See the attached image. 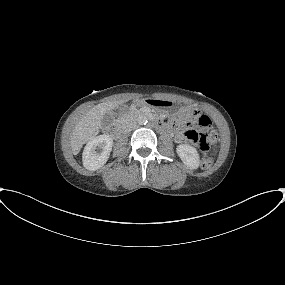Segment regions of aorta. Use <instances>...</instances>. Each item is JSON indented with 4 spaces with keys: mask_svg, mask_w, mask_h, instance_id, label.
<instances>
[{
    "mask_svg": "<svg viewBox=\"0 0 285 285\" xmlns=\"http://www.w3.org/2000/svg\"><path fill=\"white\" fill-rule=\"evenodd\" d=\"M137 121H138V124H140V125H144L148 122L147 117L143 116V115L139 116Z\"/></svg>",
    "mask_w": 285,
    "mask_h": 285,
    "instance_id": "1",
    "label": "aorta"
}]
</instances>
